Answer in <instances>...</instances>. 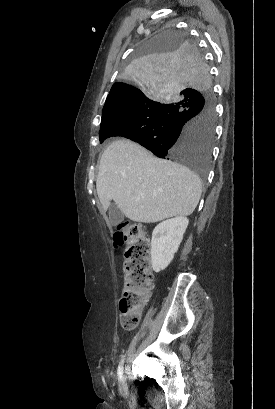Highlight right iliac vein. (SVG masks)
Here are the masks:
<instances>
[{
	"mask_svg": "<svg viewBox=\"0 0 275 409\" xmlns=\"http://www.w3.org/2000/svg\"><path fill=\"white\" fill-rule=\"evenodd\" d=\"M126 386H127L126 379H125L124 377H121V379H120V387H121V388H124V387H126Z\"/></svg>",
	"mask_w": 275,
	"mask_h": 409,
	"instance_id": "63e3f726",
	"label": "right iliac vein"
}]
</instances>
